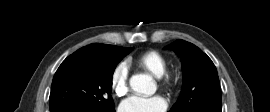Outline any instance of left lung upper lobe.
<instances>
[{
	"instance_id": "obj_1",
	"label": "left lung upper lobe",
	"mask_w": 270,
	"mask_h": 112,
	"mask_svg": "<svg viewBox=\"0 0 270 112\" xmlns=\"http://www.w3.org/2000/svg\"><path fill=\"white\" fill-rule=\"evenodd\" d=\"M181 57L183 85L179 99L169 112H189L194 108L221 112V89L216 67L197 46L176 40L166 46Z\"/></svg>"
}]
</instances>
